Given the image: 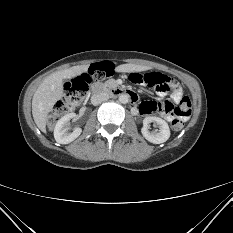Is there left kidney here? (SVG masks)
<instances>
[{
    "instance_id": "left-kidney-1",
    "label": "left kidney",
    "mask_w": 233,
    "mask_h": 233,
    "mask_svg": "<svg viewBox=\"0 0 233 233\" xmlns=\"http://www.w3.org/2000/svg\"><path fill=\"white\" fill-rule=\"evenodd\" d=\"M152 122H155L158 125V132L149 131V124ZM141 132L146 140L154 144L164 143L170 137V129L168 123L159 117L152 116L144 118Z\"/></svg>"
}]
</instances>
